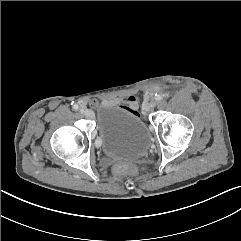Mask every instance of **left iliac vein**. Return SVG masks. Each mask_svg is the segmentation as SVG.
<instances>
[{
    "label": "left iliac vein",
    "mask_w": 241,
    "mask_h": 241,
    "mask_svg": "<svg viewBox=\"0 0 241 241\" xmlns=\"http://www.w3.org/2000/svg\"><path fill=\"white\" fill-rule=\"evenodd\" d=\"M156 106V102L155 101H151L150 103H146L144 105V109L146 111H149L150 109L154 108Z\"/></svg>",
    "instance_id": "4c4485c4"
}]
</instances>
